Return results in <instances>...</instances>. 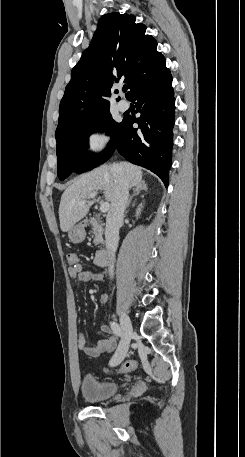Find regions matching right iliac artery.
<instances>
[{
  "mask_svg": "<svg viewBox=\"0 0 245 457\" xmlns=\"http://www.w3.org/2000/svg\"><path fill=\"white\" fill-rule=\"evenodd\" d=\"M110 325L113 333L118 337H122L121 327L116 322H111Z\"/></svg>",
  "mask_w": 245,
  "mask_h": 457,
  "instance_id": "obj_1",
  "label": "right iliac artery"
}]
</instances>
